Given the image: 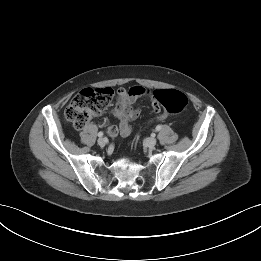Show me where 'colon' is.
Here are the masks:
<instances>
[{
	"instance_id": "5ec220e1",
	"label": "colon",
	"mask_w": 261,
	"mask_h": 261,
	"mask_svg": "<svg viewBox=\"0 0 261 261\" xmlns=\"http://www.w3.org/2000/svg\"><path fill=\"white\" fill-rule=\"evenodd\" d=\"M111 88H87L78 93L66 107L65 120L76 129L83 128L87 122L101 112L113 98ZM157 104L163 107L164 112L158 119H166L169 115L182 111L188 104L186 95L177 90H157L154 92ZM106 135L116 138L119 135V126L112 124L106 128Z\"/></svg>"
}]
</instances>
